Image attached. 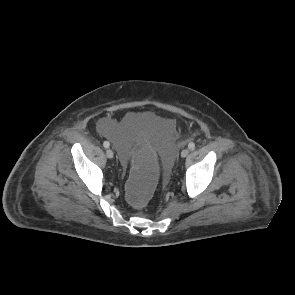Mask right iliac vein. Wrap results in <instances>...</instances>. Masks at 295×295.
Returning <instances> with one entry per match:
<instances>
[{"instance_id": "obj_1", "label": "right iliac vein", "mask_w": 295, "mask_h": 295, "mask_svg": "<svg viewBox=\"0 0 295 295\" xmlns=\"http://www.w3.org/2000/svg\"><path fill=\"white\" fill-rule=\"evenodd\" d=\"M106 156L111 159L113 158V151L111 149H107L106 150Z\"/></svg>"}]
</instances>
